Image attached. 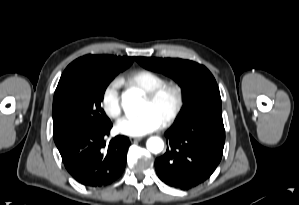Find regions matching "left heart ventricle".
<instances>
[{"instance_id": "left-heart-ventricle-1", "label": "left heart ventricle", "mask_w": 299, "mask_h": 205, "mask_svg": "<svg viewBox=\"0 0 299 205\" xmlns=\"http://www.w3.org/2000/svg\"><path fill=\"white\" fill-rule=\"evenodd\" d=\"M173 105V95L171 93L164 94L158 101L151 103L144 98L140 111L152 110L161 120L170 112Z\"/></svg>"}]
</instances>
